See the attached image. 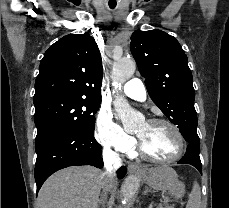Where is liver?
I'll list each match as a JSON object with an SVG mask.
<instances>
[{"mask_svg":"<svg viewBox=\"0 0 229 208\" xmlns=\"http://www.w3.org/2000/svg\"><path fill=\"white\" fill-rule=\"evenodd\" d=\"M102 182L101 170L91 166L60 170L43 184L35 208H98ZM107 182L112 186L114 180Z\"/></svg>","mask_w":229,"mask_h":208,"instance_id":"1","label":"liver"}]
</instances>
